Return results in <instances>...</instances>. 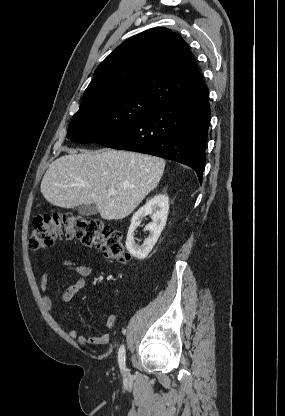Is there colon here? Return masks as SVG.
Segmentation results:
<instances>
[{
	"label": "colon",
	"instance_id": "obj_1",
	"mask_svg": "<svg viewBox=\"0 0 285 416\" xmlns=\"http://www.w3.org/2000/svg\"><path fill=\"white\" fill-rule=\"evenodd\" d=\"M61 237L77 239L95 246L105 257L124 262L127 259L122 235L100 220L72 214H48L33 221L29 237L32 250L50 248Z\"/></svg>",
	"mask_w": 285,
	"mask_h": 416
}]
</instances>
